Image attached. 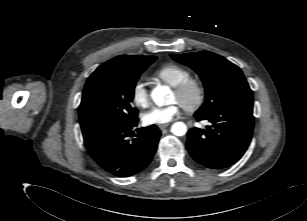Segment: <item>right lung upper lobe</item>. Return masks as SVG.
Segmentation results:
<instances>
[{
  "instance_id": "1",
  "label": "right lung upper lobe",
  "mask_w": 307,
  "mask_h": 221,
  "mask_svg": "<svg viewBox=\"0 0 307 221\" xmlns=\"http://www.w3.org/2000/svg\"><path fill=\"white\" fill-rule=\"evenodd\" d=\"M152 56H128V55H122L116 58H113L104 64H102L100 67H98L93 73H99L104 70H110V69H119L122 67H128L136 64H140L143 62L148 61L151 59Z\"/></svg>"
}]
</instances>
